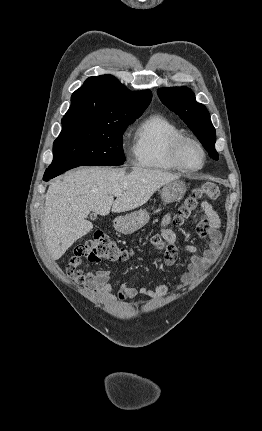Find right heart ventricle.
I'll return each mask as SVG.
<instances>
[{
	"label": "right heart ventricle",
	"mask_w": 262,
	"mask_h": 431,
	"mask_svg": "<svg viewBox=\"0 0 262 431\" xmlns=\"http://www.w3.org/2000/svg\"><path fill=\"white\" fill-rule=\"evenodd\" d=\"M183 132L164 116L153 114L136 127L133 155L138 166L164 171H179L171 159V146Z\"/></svg>",
	"instance_id": "right-heart-ventricle-1"
}]
</instances>
